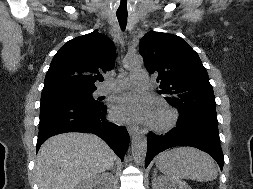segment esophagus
<instances>
[{
	"mask_svg": "<svg viewBox=\"0 0 253 189\" xmlns=\"http://www.w3.org/2000/svg\"><path fill=\"white\" fill-rule=\"evenodd\" d=\"M138 128L137 127H132V126H129L127 128V131L129 133V135H133L135 132H137Z\"/></svg>",
	"mask_w": 253,
	"mask_h": 189,
	"instance_id": "obj_1",
	"label": "esophagus"
}]
</instances>
